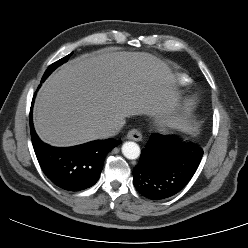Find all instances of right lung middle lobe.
Masks as SVG:
<instances>
[{
    "instance_id": "1",
    "label": "right lung middle lobe",
    "mask_w": 248,
    "mask_h": 248,
    "mask_svg": "<svg viewBox=\"0 0 248 248\" xmlns=\"http://www.w3.org/2000/svg\"><path fill=\"white\" fill-rule=\"evenodd\" d=\"M71 55H72V53H70L69 55L65 56L64 58L58 60L57 62L51 64V65L47 68V70L45 71V73H44L42 79H46V78L50 75V73H51L53 70H55L58 66H60V65L63 64L64 62H66V61L69 59V57H70Z\"/></svg>"
}]
</instances>
